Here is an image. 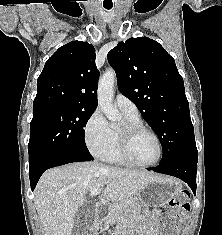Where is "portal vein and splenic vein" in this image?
<instances>
[{
	"label": "portal vein and splenic vein",
	"mask_w": 222,
	"mask_h": 235,
	"mask_svg": "<svg viewBox=\"0 0 222 235\" xmlns=\"http://www.w3.org/2000/svg\"><path fill=\"white\" fill-rule=\"evenodd\" d=\"M100 191H101V188H94L93 190H91V195L95 196L99 194Z\"/></svg>",
	"instance_id": "obj_1"
}]
</instances>
